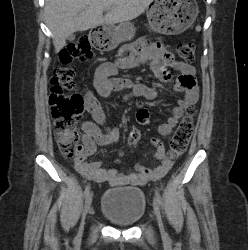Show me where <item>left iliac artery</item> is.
<instances>
[{
    "label": "left iliac artery",
    "instance_id": "1",
    "mask_svg": "<svg viewBox=\"0 0 248 250\" xmlns=\"http://www.w3.org/2000/svg\"><path fill=\"white\" fill-rule=\"evenodd\" d=\"M155 196H156L157 202L159 203L160 207L162 208L163 202H162V198H161V196H160V194H159L158 191H156Z\"/></svg>",
    "mask_w": 248,
    "mask_h": 250
}]
</instances>
